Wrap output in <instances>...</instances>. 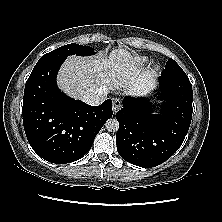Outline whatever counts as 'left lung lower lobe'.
Here are the masks:
<instances>
[{
  "label": "left lung lower lobe",
  "instance_id": "1",
  "mask_svg": "<svg viewBox=\"0 0 222 222\" xmlns=\"http://www.w3.org/2000/svg\"><path fill=\"white\" fill-rule=\"evenodd\" d=\"M159 114H152L147 98L123 99L116 113L119 130L117 151L127 162L145 168L155 167L169 159L181 146L192 118V85L188 77L160 76Z\"/></svg>",
  "mask_w": 222,
  "mask_h": 222
}]
</instances>
